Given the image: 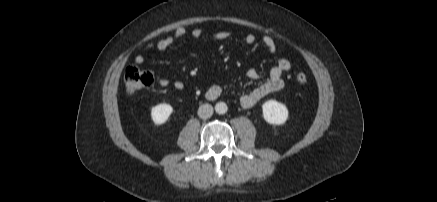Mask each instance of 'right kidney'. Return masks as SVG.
Returning <instances> with one entry per match:
<instances>
[{
	"label": "right kidney",
	"instance_id": "ca27d5eb",
	"mask_svg": "<svg viewBox=\"0 0 437 202\" xmlns=\"http://www.w3.org/2000/svg\"><path fill=\"white\" fill-rule=\"evenodd\" d=\"M173 112L169 104H159L151 109V118L156 125L164 124Z\"/></svg>",
	"mask_w": 437,
	"mask_h": 202
}]
</instances>
